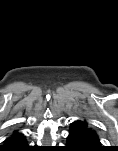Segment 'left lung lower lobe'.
<instances>
[{"label":"left lung lower lobe","mask_w":118,"mask_h":151,"mask_svg":"<svg viewBox=\"0 0 118 151\" xmlns=\"http://www.w3.org/2000/svg\"><path fill=\"white\" fill-rule=\"evenodd\" d=\"M65 151H101V147L94 144V142L81 131L70 127L69 135L67 137V145Z\"/></svg>","instance_id":"0a47b994"}]
</instances>
